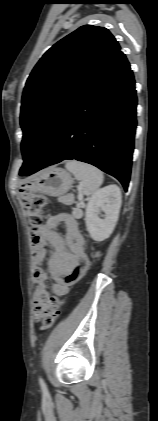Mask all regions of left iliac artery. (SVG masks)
Here are the masks:
<instances>
[{
    "mask_svg": "<svg viewBox=\"0 0 158 421\" xmlns=\"http://www.w3.org/2000/svg\"><path fill=\"white\" fill-rule=\"evenodd\" d=\"M39 383H40L41 388L43 390H46V384H45L44 380L41 377L39 378Z\"/></svg>",
    "mask_w": 158,
    "mask_h": 421,
    "instance_id": "1",
    "label": "left iliac artery"
}]
</instances>
